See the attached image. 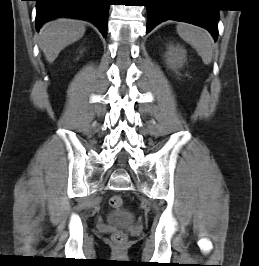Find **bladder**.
I'll return each mask as SVG.
<instances>
[{"instance_id":"bladder-1","label":"bladder","mask_w":259,"mask_h":266,"mask_svg":"<svg viewBox=\"0 0 259 266\" xmlns=\"http://www.w3.org/2000/svg\"><path fill=\"white\" fill-rule=\"evenodd\" d=\"M109 221L115 224H129L133 221V215L127 211L118 210L109 216Z\"/></svg>"}]
</instances>
